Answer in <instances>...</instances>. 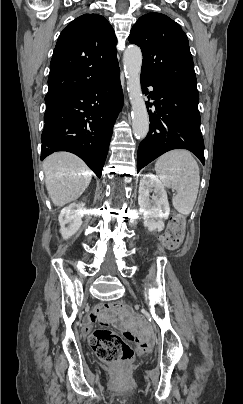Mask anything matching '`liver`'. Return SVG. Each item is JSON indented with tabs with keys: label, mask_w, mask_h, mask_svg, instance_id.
<instances>
[{
	"label": "liver",
	"mask_w": 243,
	"mask_h": 404,
	"mask_svg": "<svg viewBox=\"0 0 243 404\" xmlns=\"http://www.w3.org/2000/svg\"><path fill=\"white\" fill-rule=\"evenodd\" d=\"M45 184L54 206L75 202L88 188L92 174L86 164L68 152H56L43 162Z\"/></svg>",
	"instance_id": "obj_1"
}]
</instances>
